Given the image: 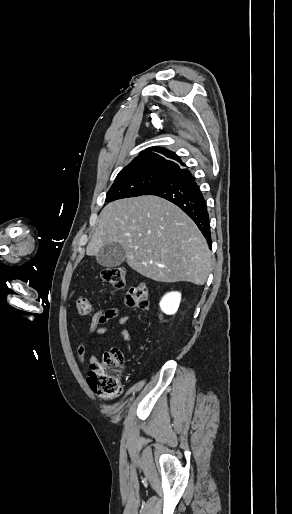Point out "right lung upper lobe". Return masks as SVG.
<instances>
[{
	"mask_svg": "<svg viewBox=\"0 0 292 514\" xmlns=\"http://www.w3.org/2000/svg\"><path fill=\"white\" fill-rule=\"evenodd\" d=\"M142 151L129 165L124 167L118 175L141 172H165L170 175L184 171L185 164L172 151L160 147L147 148Z\"/></svg>",
	"mask_w": 292,
	"mask_h": 514,
	"instance_id": "1",
	"label": "right lung upper lobe"
}]
</instances>
